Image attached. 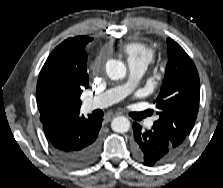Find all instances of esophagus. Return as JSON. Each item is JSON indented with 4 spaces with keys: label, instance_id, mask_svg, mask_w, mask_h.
<instances>
[{
    "label": "esophagus",
    "instance_id": "esophagus-1",
    "mask_svg": "<svg viewBox=\"0 0 223 188\" xmlns=\"http://www.w3.org/2000/svg\"><path fill=\"white\" fill-rule=\"evenodd\" d=\"M112 118H113V116L108 117L106 120L109 122Z\"/></svg>",
    "mask_w": 223,
    "mask_h": 188
}]
</instances>
